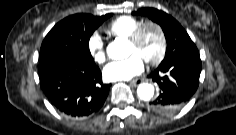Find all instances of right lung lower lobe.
I'll use <instances>...</instances> for the list:
<instances>
[{
    "label": "right lung lower lobe",
    "mask_w": 236,
    "mask_h": 135,
    "mask_svg": "<svg viewBox=\"0 0 236 135\" xmlns=\"http://www.w3.org/2000/svg\"><path fill=\"white\" fill-rule=\"evenodd\" d=\"M39 79L51 104L73 118L96 113L110 89V84L102 83L101 71L95 64L72 55L54 63L39 64Z\"/></svg>",
    "instance_id": "obj_1"
}]
</instances>
